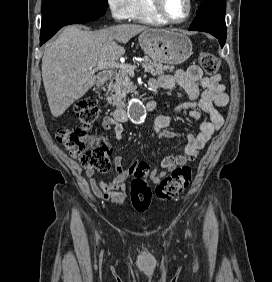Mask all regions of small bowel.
<instances>
[{
    "label": "small bowel",
    "instance_id": "1",
    "mask_svg": "<svg viewBox=\"0 0 272 282\" xmlns=\"http://www.w3.org/2000/svg\"><path fill=\"white\" fill-rule=\"evenodd\" d=\"M177 86L185 93L188 101L178 105L172 113L160 115L156 119L153 139H177L176 133L169 130L175 115L188 112L193 120L199 121L201 113L204 112L209 115L210 120L200 122L199 133L196 136L190 133L186 134L188 143L182 154L163 158L159 164L160 170L156 169L150 172L149 177L154 184L159 183L167 171L193 160L224 122L218 109L227 105L229 97L225 85L221 82L220 75L205 76L199 66L191 65L186 70H177L172 75L157 78V89L173 90ZM102 126L105 130L112 128L116 139L123 138V125L113 117L105 118ZM133 167L147 169L148 165L143 161L136 160L132 167L126 168L122 164V158L115 156L116 175L112 180H97L95 170L92 169H86L85 174L89 179L93 193L98 198L122 206L127 199L126 181L132 174Z\"/></svg>",
    "mask_w": 272,
    "mask_h": 282
}]
</instances>
